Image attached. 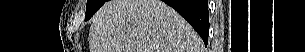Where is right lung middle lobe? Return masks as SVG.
<instances>
[{"label": "right lung middle lobe", "instance_id": "dd1d6c3e", "mask_svg": "<svg viewBox=\"0 0 305 52\" xmlns=\"http://www.w3.org/2000/svg\"><path fill=\"white\" fill-rule=\"evenodd\" d=\"M107 0H88L86 5L85 20L90 19L93 14L106 2Z\"/></svg>", "mask_w": 305, "mask_h": 52}]
</instances>
